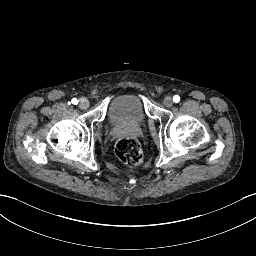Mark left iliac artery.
<instances>
[{"label": "left iliac artery", "instance_id": "44dca946", "mask_svg": "<svg viewBox=\"0 0 256 256\" xmlns=\"http://www.w3.org/2000/svg\"><path fill=\"white\" fill-rule=\"evenodd\" d=\"M173 101H174L175 103H178V102L180 101V97H179L178 95H175V96L173 97Z\"/></svg>", "mask_w": 256, "mask_h": 256}]
</instances>
